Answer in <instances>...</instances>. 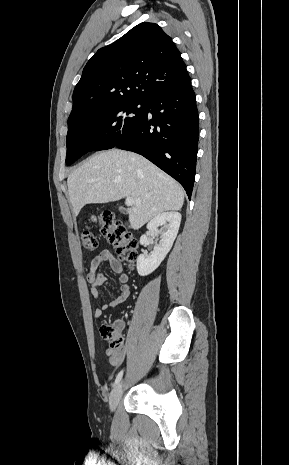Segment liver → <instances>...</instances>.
<instances>
[{
    "label": "liver",
    "mask_w": 289,
    "mask_h": 465,
    "mask_svg": "<svg viewBox=\"0 0 289 465\" xmlns=\"http://www.w3.org/2000/svg\"><path fill=\"white\" fill-rule=\"evenodd\" d=\"M67 184L75 216L86 204L133 198L127 212L135 230L159 213L180 210L184 202L174 179L141 155L120 149L94 154L69 175Z\"/></svg>",
    "instance_id": "liver-1"
}]
</instances>
